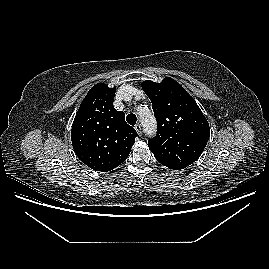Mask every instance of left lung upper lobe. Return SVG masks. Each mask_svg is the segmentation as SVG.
Segmentation results:
<instances>
[{"label": "left lung upper lobe", "instance_id": "5c2ea615", "mask_svg": "<svg viewBox=\"0 0 269 269\" xmlns=\"http://www.w3.org/2000/svg\"><path fill=\"white\" fill-rule=\"evenodd\" d=\"M142 88L152 102L158 122L157 136L148 146L162 165L181 170L195 162L210 135L208 121L195 100L174 79L144 81Z\"/></svg>", "mask_w": 269, "mask_h": 269}]
</instances>
